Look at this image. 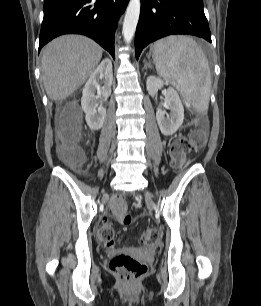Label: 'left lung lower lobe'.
Wrapping results in <instances>:
<instances>
[{"mask_svg":"<svg viewBox=\"0 0 261 306\" xmlns=\"http://www.w3.org/2000/svg\"><path fill=\"white\" fill-rule=\"evenodd\" d=\"M173 34H190L211 42L203 0H141L135 34L136 59L149 43Z\"/></svg>","mask_w":261,"mask_h":306,"instance_id":"obj_1","label":"left lung lower lobe"}]
</instances>
